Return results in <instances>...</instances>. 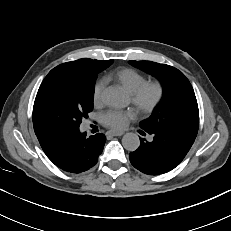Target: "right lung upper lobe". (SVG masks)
<instances>
[{
    "mask_svg": "<svg viewBox=\"0 0 231 231\" xmlns=\"http://www.w3.org/2000/svg\"><path fill=\"white\" fill-rule=\"evenodd\" d=\"M104 62L105 61L83 58V59H79L76 61L67 62V63L61 64V65L70 66L76 72L84 75L87 73H92L95 70L101 68L103 66ZM34 130H35V134L39 135L43 132L49 131L50 129H48L47 127L42 126V125H36V126H34Z\"/></svg>",
    "mask_w": 231,
    "mask_h": 231,
    "instance_id": "right-lung-upper-lobe-1",
    "label": "right lung upper lobe"
}]
</instances>
